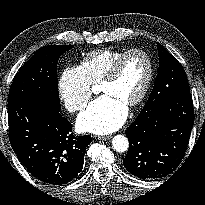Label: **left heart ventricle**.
I'll return each mask as SVG.
<instances>
[{"label":"left heart ventricle","mask_w":205,"mask_h":205,"mask_svg":"<svg viewBox=\"0 0 205 205\" xmlns=\"http://www.w3.org/2000/svg\"><path fill=\"white\" fill-rule=\"evenodd\" d=\"M147 73L148 61L145 56L134 54L125 60L117 78L101 85L99 90L127 105L141 92Z\"/></svg>","instance_id":"obj_1"}]
</instances>
